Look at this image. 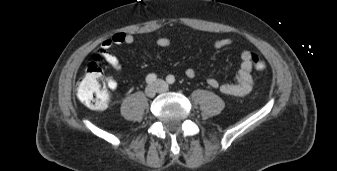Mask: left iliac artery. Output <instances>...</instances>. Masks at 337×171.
<instances>
[{
  "instance_id": "44dca946",
  "label": "left iliac artery",
  "mask_w": 337,
  "mask_h": 171,
  "mask_svg": "<svg viewBox=\"0 0 337 171\" xmlns=\"http://www.w3.org/2000/svg\"><path fill=\"white\" fill-rule=\"evenodd\" d=\"M166 80L169 84H173L175 82V77L173 75H168Z\"/></svg>"
}]
</instances>
